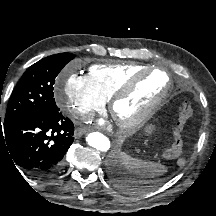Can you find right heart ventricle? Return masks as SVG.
Here are the masks:
<instances>
[{
	"mask_svg": "<svg viewBox=\"0 0 216 216\" xmlns=\"http://www.w3.org/2000/svg\"><path fill=\"white\" fill-rule=\"evenodd\" d=\"M135 63L95 64L89 68V78L96 91L106 100L133 75L144 70Z\"/></svg>",
	"mask_w": 216,
	"mask_h": 216,
	"instance_id": "e07e8e85",
	"label": "right heart ventricle"
}]
</instances>
